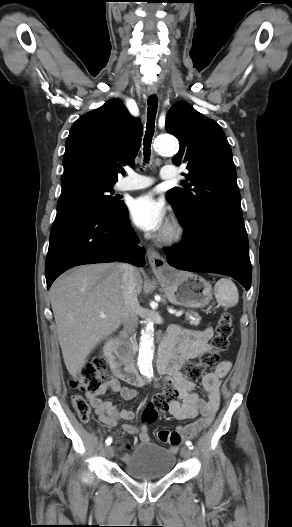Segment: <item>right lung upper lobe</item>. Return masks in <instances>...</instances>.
<instances>
[{
	"instance_id": "cb5924a9",
	"label": "right lung upper lobe",
	"mask_w": 292,
	"mask_h": 527,
	"mask_svg": "<svg viewBox=\"0 0 292 527\" xmlns=\"http://www.w3.org/2000/svg\"><path fill=\"white\" fill-rule=\"evenodd\" d=\"M142 139L140 121L119 99L82 115L65 143L61 182L86 177L115 184L122 165L134 166Z\"/></svg>"
}]
</instances>
